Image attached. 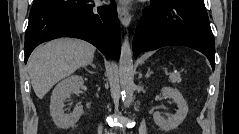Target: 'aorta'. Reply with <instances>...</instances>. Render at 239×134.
I'll return each instance as SVG.
<instances>
[{
	"label": "aorta",
	"instance_id": "762f6f07",
	"mask_svg": "<svg viewBox=\"0 0 239 134\" xmlns=\"http://www.w3.org/2000/svg\"><path fill=\"white\" fill-rule=\"evenodd\" d=\"M119 79L125 98V105L129 106L133 99L134 93V69L132 49L126 36L121 45V53L119 59Z\"/></svg>",
	"mask_w": 239,
	"mask_h": 134
}]
</instances>
